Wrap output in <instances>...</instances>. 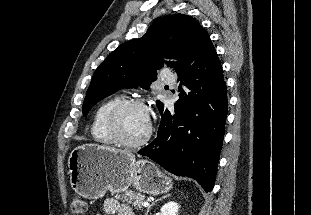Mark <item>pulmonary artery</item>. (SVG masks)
I'll list each match as a JSON object with an SVG mask.
<instances>
[{"instance_id": "obj_1", "label": "pulmonary artery", "mask_w": 311, "mask_h": 215, "mask_svg": "<svg viewBox=\"0 0 311 215\" xmlns=\"http://www.w3.org/2000/svg\"><path fill=\"white\" fill-rule=\"evenodd\" d=\"M161 79L167 84H173L175 82L174 75L169 71H163Z\"/></svg>"}]
</instances>
